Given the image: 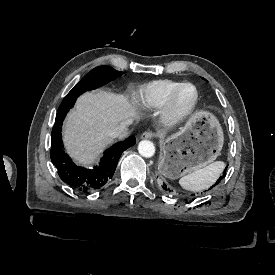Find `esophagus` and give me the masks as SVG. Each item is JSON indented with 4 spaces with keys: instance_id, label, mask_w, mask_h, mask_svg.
<instances>
[{
    "instance_id": "1",
    "label": "esophagus",
    "mask_w": 275,
    "mask_h": 275,
    "mask_svg": "<svg viewBox=\"0 0 275 275\" xmlns=\"http://www.w3.org/2000/svg\"><path fill=\"white\" fill-rule=\"evenodd\" d=\"M155 134L153 132H144L142 135H141V139H150L152 137H154Z\"/></svg>"
}]
</instances>
